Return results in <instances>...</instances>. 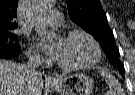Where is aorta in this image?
<instances>
[{
	"mask_svg": "<svg viewBox=\"0 0 135 95\" xmlns=\"http://www.w3.org/2000/svg\"><path fill=\"white\" fill-rule=\"evenodd\" d=\"M53 6V0H33L32 9L36 17L42 16ZM36 32L39 36L46 39H52L55 34L48 32L45 25L37 24Z\"/></svg>",
	"mask_w": 135,
	"mask_h": 95,
	"instance_id": "762f6f07",
	"label": "aorta"
}]
</instances>
